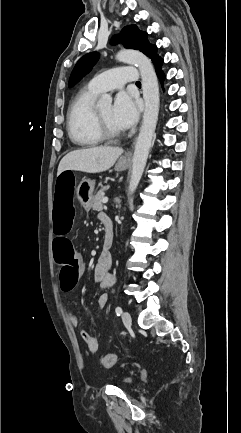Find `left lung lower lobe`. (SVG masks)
<instances>
[{"instance_id":"left-lung-lower-lobe-1","label":"left lung lower lobe","mask_w":241,"mask_h":433,"mask_svg":"<svg viewBox=\"0 0 241 433\" xmlns=\"http://www.w3.org/2000/svg\"><path fill=\"white\" fill-rule=\"evenodd\" d=\"M158 78L160 80L161 83H163L164 79H165V75L162 71H158L157 72Z\"/></svg>"}]
</instances>
